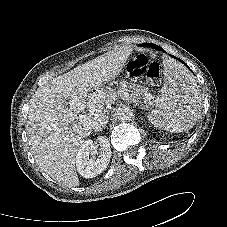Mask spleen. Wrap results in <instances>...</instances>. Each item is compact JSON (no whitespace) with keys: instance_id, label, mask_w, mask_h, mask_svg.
<instances>
[{"instance_id":"spleen-1","label":"spleen","mask_w":227,"mask_h":227,"mask_svg":"<svg viewBox=\"0 0 227 227\" xmlns=\"http://www.w3.org/2000/svg\"><path fill=\"white\" fill-rule=\"evenodd\" d=\"M164 86L149 121L172 132L191 129L201 116V95L192 75L172 59L164 60Z\"/></svg>"}]
</instances>
